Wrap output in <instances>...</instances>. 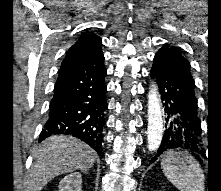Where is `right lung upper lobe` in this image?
Returning a JSON list of instances; mask_svg holds the SVG:
<instances>
[{"label":"right lung upper lobe","mask_w":221,"mask_h":191,"mask_svg":"<svg viewBox=\"0 0 221 191\" xmlns=\"http://www.w3.org/2000/svg\"><path fill=\"white\" fill-rule=\"evenodd\" d=\"M101 45L102 41L99 36L83 33L67 52L61 68L79 61L103 56Z\"/></svg>","instance_id":"obj_1"}]
</instances>
